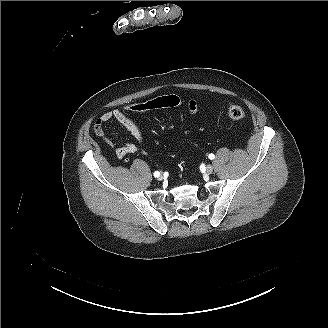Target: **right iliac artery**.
Segmentation results:
<instances>
[{"instance_id": "82829eb1", "label": "right iliac artery", "mask_w": 328, "mask_h": 328, "mask_svg": "<svg viewBox=\"0 0 328 328\" xmlns=\"http://www.w3.org/2000/svg\"><path fill=\"white\" fill-rule=\"evenodd\" d=\"M160 175V173L158 171L154 172V177H158Z\"/></svg>"}]
</instances>
